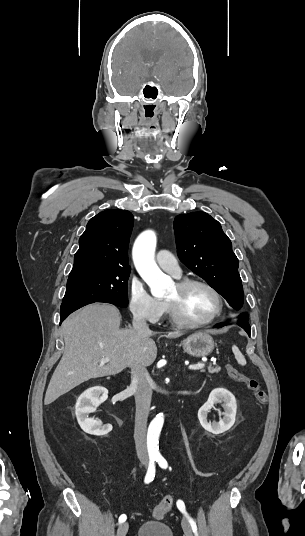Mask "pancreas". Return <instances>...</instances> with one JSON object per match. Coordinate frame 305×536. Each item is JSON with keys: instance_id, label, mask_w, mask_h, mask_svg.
<instances>
[{"instance_id": "cf45deb5", "label": "pancreas", "mask_w": 305, "mask_h": 536, "mask_svg": "<svg viewBox=\"0 0 305 536\" xmlns=\"http://www.w3.org/2000/svg\"><path fill=\"white\" fill-rule=\"evenodd\" d=\"M209 374H218L220 372L221 368L220 366H208L207 368ZM201 372H206V370H201Z\"/></svg>"}]
</instances>
